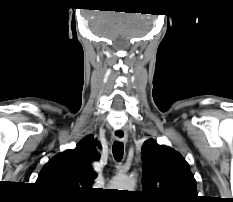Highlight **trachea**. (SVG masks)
Returning <instances> with one entry per match:
<instances>
[{
    "mask_svg": "<svg viewBox=\"0 0 233 202\" xmlns=\"http://www.w3.org/2000/svg\"><path fill=\"white\" fill-rule=\"evenodd\" d=\"M112 152L117 161L122 160L123 152H124L123 143L115 141L113 143Z\"/></svg>",
    "mask_w": 233,
    "mask_h": 202,
    "instance_id": "trachea-1",
    "label": "trachea"
}]
</instances>
